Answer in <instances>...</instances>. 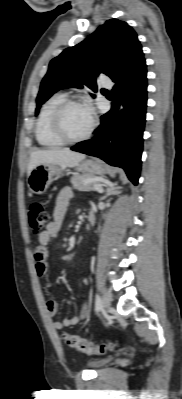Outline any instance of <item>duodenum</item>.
I'll use <instances>...</instances> for the list:
<instances>
[{"mask_svg": "<svg viewBox=\"0 0 182 399\" xmlns=\"http://www.w3.org/2000/svg\"><path fill=\"white\" fill-rule=\"evenodd\" d=\"M95 221H96L95 212H94L93 210H91V211L88 213V223H89V225L91 226V225H93V224L95 223Z\"/></svg>", "mask_w": 182, "mask_h": 399, "instance_id": "1", "label": "duodenum"}]
</instances>
